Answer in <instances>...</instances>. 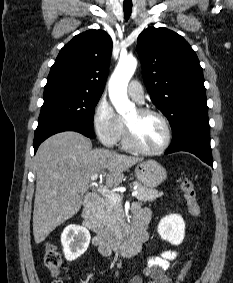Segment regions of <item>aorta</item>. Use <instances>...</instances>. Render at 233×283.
Here are the masks:
<instances>
[{
  "instance_id": "obj_1",
  "label": "aorta",
  "mask_w": 233,
  "mask_h": 283,
  "mask_svg": "<svg viewBox=\"0 0 233 283\" xmlns=\"http://www.w3.org/2000/svg\"><path fill=\"white\" fill-rule=\"evenodd\" d=\"M137 67L133 56L120 57L109 81V97L120 115L134 110L135 105L128 99L127 86Z\"/></svg>"
}]
</instances>
